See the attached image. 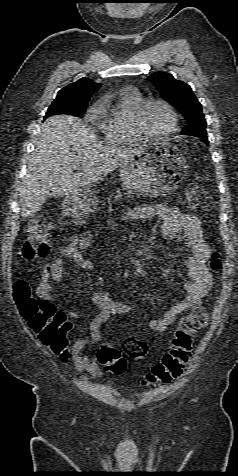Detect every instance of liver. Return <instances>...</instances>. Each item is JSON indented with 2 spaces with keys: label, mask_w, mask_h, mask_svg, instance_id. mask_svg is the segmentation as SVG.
<instances>
[{
  "label": "liver",
  "mask_w": 238,
  "mask_h": 476,
  "mask_svg": "<svg viewBox=\"0 0 238 476\" xmlns=\"http://www.w3.org/2000/svg\"><path fill=\"white\" fill-rule=\"evenodd\" d=\"M142 152V148L104 145L77 117H49L42 124L22 181V217H33L47 197H63L91 186Z\"/></svg>",
  "instance_id": "obj_1"
}]
</instances>
